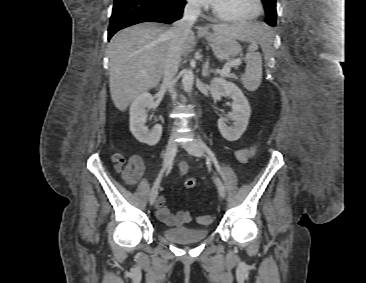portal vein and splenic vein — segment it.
I'll use <instances>...</instances> for the list:
<instances>
[{"mask_svg": "<svg viewBox=\"0 0 366 283\" xmlns=\"http://www.w3.org/2000/svg\"><path fill=\"white\" fill-rule=\"evenodd\" d=\"M241 65L240 59H235L231 62H229L227 65L224 66V68L221 71V75H226L231 72V67H238Z\"/></svg>", "mask_w": 366, "mask_h": 283, "instance_id": "18ae733b", "label": "portal vein and splenic vein"}]
</instances>
